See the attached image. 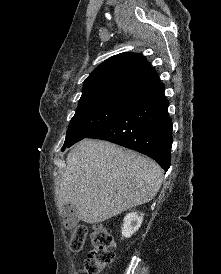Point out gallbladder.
Here are the masks:
<instances>
[{"label":"gallbladder","mask_w":221,"mask_h":274,"mask_svg":"<svg viewBox=\"0 0 221 274\" xmlns=\"http://www.w3.org/2000/svg\"><path fill=\"white\" fill-rule=\"evenodd\" d=\"M66 210L68 211L67 217L73 224H77L79 222V215H78V209L75 205L71 204L66 207Z\"/></svg>","instance_id":"bac80fb5"}]
</instances>
